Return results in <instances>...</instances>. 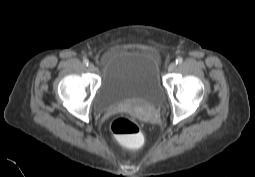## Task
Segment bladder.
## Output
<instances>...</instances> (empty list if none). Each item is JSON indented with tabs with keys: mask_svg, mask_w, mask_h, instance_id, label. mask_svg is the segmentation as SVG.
Segmentation results:
<instances>
[{
	"mask_svg": "<svg viewBox=\"0 0 255 177\" xmlns=\"http://www.w3.org/2000/svg\"><path fill=\"white\" fill-rule=\"evenodd\" d=\"M164 97L153 52L123 50L105 64L94 107L98 113H104L129 102L158 106L163 103Z\"/></svg>",
	"mask_w": 255,
	"mask_h": 177,
	"instance_id": "1",
	"label": "bladder"
}]
</instances>
